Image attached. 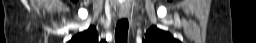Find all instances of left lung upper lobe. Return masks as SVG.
<instances>
[{
    "label": "left lung upper lobe",
    "instance_id": "1",
    "mask_svg": "<svg viewBox=\"0 0 256 43\" xmlns=\"http://www.w3.org/2000/svg\"><path fill=\"white\" fill-rule=\"evenodd\" d=\"M146 39L143 43H179L169 33L159 30L157 27L152 26L145 34Z\"/></svg>",
    "mask_w": 256,
    "mask_h": 43
}]
</instances>
